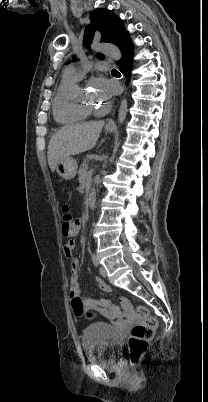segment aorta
<instances>
[{"label":"aorta","instance_id":"aorta-1","mask_svg":"<svg viewBox=\"0 0 208 402\" xmlns=\"http://www.w3.org/2000/svg\"><path fill=\"white\" fill-rule=\"evenodd\" d=\"M104 54H106L107 58H110V60H116V62H118V60H121L122 56L119 48H117V46H113V44H109V46L105 48ZM127 108H128V102L126 98H123L119 106V114H118L119 124H124L127 114ZM89 246H92V243H89ZM90 252L93 257H96L98 255L97 249L95 247H92L90 249Z\"/></svg>","mask_w":208,"mask_h":402}]
</instances>
